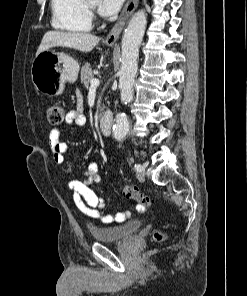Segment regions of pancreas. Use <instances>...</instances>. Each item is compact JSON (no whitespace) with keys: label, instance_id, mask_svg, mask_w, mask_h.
<instances>
[{"label":"pancreas","instance_id":"pancreas-1","mask_svg":"<svg viewBox=\"0 0 247 296\" xmlns=\"http://www.w3.org/2000/svg\"><path fill=\"white\" fill-rule=\"evenodd\" d=\"M81 83L85 86V88L89 87V83L93 78L92 69L89 63H86L81 69ZM103 110V108H102Z\"/></svg>","mask_w":247,"mask_h":296}]
</instances>
